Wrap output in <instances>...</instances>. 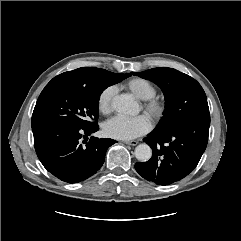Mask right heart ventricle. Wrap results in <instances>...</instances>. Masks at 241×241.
I'll use <instances>...</instances> for the list:
<instances>
[{"label": "right heart ventricle", "instance_id": "1", "mask_svg": "<svg viewBox=\"0 0 241 241\" xmlns=\"http://www.w3.org/2000/svg\"><path fill=\"white\" fill-rule=\"evenodd\" d=\"M125 87L138 99L147 100L156 94L155 86L145 78L136 77L129 80Z\"/></svg>", "mask_w": 241, "mask_h": 241}]
</instances>
